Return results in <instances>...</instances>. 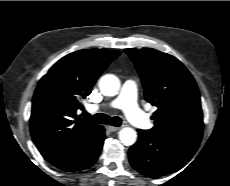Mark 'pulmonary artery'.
Here are the masks:
<instances>
[{
    "instance_id": "obj_1",
    "label": "pulmonary artery",
    "mask_w": 230,
    "mask_h": 186,
    "mask_svg": "<svg viewBox=\"0 0 230 186\" xmlns=\"http://www.w3.org/2000/svg\"><path fill=\"white\" fill-rule=\"evenodd\" d=\"M137 87L132 80L126 81L121 89L119 96L113 99L108 106L113 108H121L128 120L136 127L141 129H149L151 121L148 116L140 110L136 103ZM103 105L90 106L91 111L99 110Z\"/></svg>"
}]
</instances>
